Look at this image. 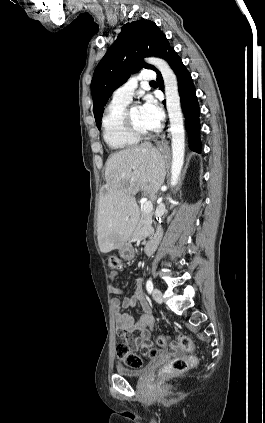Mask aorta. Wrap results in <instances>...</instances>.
<instances>
[{
	"mask_svg": "<svg viewBox=\"0 0 265 423\" xmlns=\"http://www.w3.org/2000/svg\"><path fill=\"white\" fill-rule=\"evenodd\" d=\"M146 61L161 72L164 81L172 140L171 185L175 186L180 178L185 152V131L177 77L165 60L158 57H149L146 58Z\"/></svg>",
	"mask_w": 265,
	"mask_h": 423,
	"instance_id": "1",
	"label": "aorta"
}]
</instances>
